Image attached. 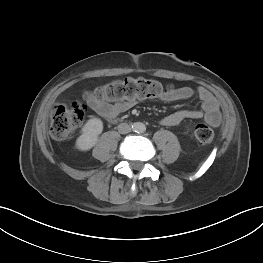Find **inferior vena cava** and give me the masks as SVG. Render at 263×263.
<instances>
[{
    "label": "inferior vena cava",
    "instance_id": "602c4592",
    "mask_svg": "<svg viewBox=\"0 0 263 263\" xmlns=\"http://www.w3.org/2000/svg\"><path fill=\"white\" fill-rule=\"evenodd\" d=\"M117 128L121 134H127L131 131V127L127 123H121Z\"/></svg>",
    "mask_w": 263,
    "mask_h": 263
}]
</instances>
